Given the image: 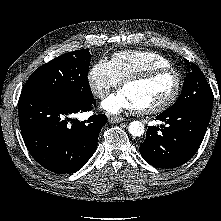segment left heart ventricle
<instances>
[{
    "mask_svg": "<svg viewBox=\"0 0 221 221\" xmlns=\"http://www.w3.org/2000/svg\"><path fill=\"white\" fill-rule=\"evenodd\" d=\"M175 83L173 74H163L146 82L126 85L123 90L138 109H144L166 100L174 91Z\"/></svg>",
    "mask_w": 221,
    "mask_h": 221,
    "instance_id": "b2bd125f",
    "label": "left heart ventricle"
}]
</instances>
